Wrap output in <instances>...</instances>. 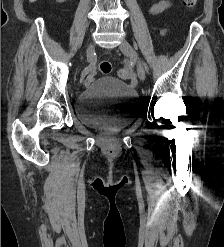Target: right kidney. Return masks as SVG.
Segmentation results:
<instances>
[{
  "label": "right kidney",
  "mask_w": 224,
  "mask_h": 247,
  "mask_svg": "<svg viewBox=\"0 0 224 247\" xmlns=\"http://www.w3.org/2000/svg\"><path fill=\"white\" fill-rule=\"evenodd\" d=\"M56 2H65V0H56Z\"/></svg>",
  "instance_id": "right-kidney-1"
}]
</instances>
